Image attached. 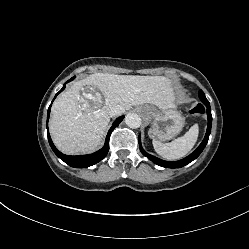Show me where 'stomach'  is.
Returning <instances> with one entry per match:
<instances>
[{
    "label": "stomach",
    "mask_w": 249,
    "mask_h": 249,
    "mask_svg": "<svg viewBox=\"0 0 249 249\" xmlns=\"http://www.w3.org/2000/svg\"><path fill=\"white\" fill-rule=\"evenodd\" d=\"M141 111L152 124L149 136L153 139L161 141L172 139L184 126V118L181 113L173 108L158 110L146 105L141 107Z\"/></svg>",
    "instance_id": "stomach-1"
}]
</instances>
